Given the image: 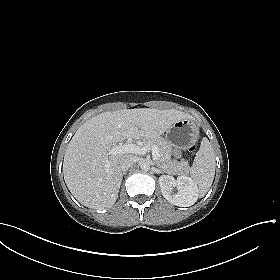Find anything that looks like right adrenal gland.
I'll use <instances>...</instances> for the list:
<instances>
[{
  "label": "right adrenal gland",
  "mask_w": 280,
  "mask_h": 280,
  "mask_svg": "<svg viewBox=\"0 0 280 280\" xmlns=\"http://www.w3.org/2000/svg\"><path fill=\"white\" fill-rule=\"evenodd\" d=\"M125 174H126V171H124V172L122 173V176L125 175Z\"/></svg>",
  "instance_id": "2a0ac1e0"
}]
</instances>
